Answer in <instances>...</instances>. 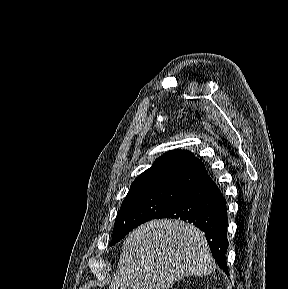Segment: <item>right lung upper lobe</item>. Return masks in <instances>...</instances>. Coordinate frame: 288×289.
I'll return each instance as SVG.
<instances>
[{
	"label": "right lung upper lobe",
	"mask_w": 288,
	"mask_h": 289,
	"mask_svg": "<svg viewBox=\"0 0 288 289\" xmlns=\"http://www.w3.org/2000/svg\"><path fill=\"white\" fill-rule=\"evenodd\" d=\"M205 175L201 160L186 150H174L156 159L154 165L140 174L131 184V191L171 187L188 190Z\"/></svg>",
	"instance_id": "obj_1"
}]
</instances>
